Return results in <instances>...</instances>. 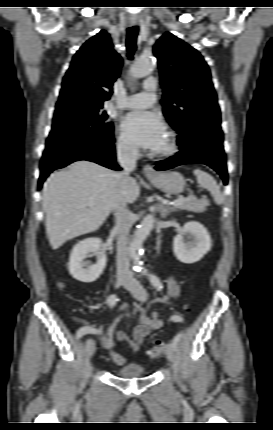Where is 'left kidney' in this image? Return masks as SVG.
<instances>
[{
    "instance_id": "5707ae66",
    "label": "left kidney",
    "mask_w": 273,
    "mask_h": 430,
    "mask_svg": "<svg viewBox=\"0 0 273 430\" xmlns=\"http://www.w3.org/2000/svg\"><path fill=\"white\" fill-rule=\"evenodd\" d=\"M186 234H189L192 240H185ZM211 246L212 241L208 230L196 221L187 222L173 240L175 256L186 264L200 261L210 251Z\"/></svg>"
}]
</instances>
